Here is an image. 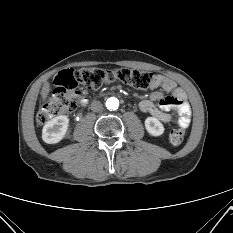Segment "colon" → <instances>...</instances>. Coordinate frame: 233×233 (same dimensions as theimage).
Segmentation results:
<instances>
[{"label":"colon","instance_id":"5ec220e1","mask_svg":"<svg viewBox=\"0 0 233 233\" xmlns=\"http://www.w3.org/2000/svg\"><path fill=\"white\" fill-rule=\"evenodd\" d=\"M155 78L156 76L151 72L128 68L63 70L56 77V89L38 111L37 122L43 125L56 116L74 111L90 90L98 89L103 85L121 82L137 89H147L151 87ZM185 135L186 128L174 129L170 132L168 141L174 146L180 145Z\"/></svg>","mask_w":233,"mask_h":233}]
</instances>
